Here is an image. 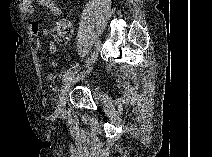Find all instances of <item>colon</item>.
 Listing matches in <instances>:
<instances>
[{
  "label": "colon",
  "mask_w": 212,
  "mask_h": 157,
  "mask_svg": "<svg viewBox=\"0 0 212 157\" xmlns=\"http://www.w3.org/2000/svg\"><path fill=\"white\" fill-rule=\"evenodd\" d=\"M73 25L68 19H61L53 25V36L58 43H67L73 36Z\"/></svg>",
  "instance_id": "5ec220e1"
}]
</instances>
